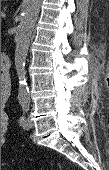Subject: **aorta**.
I'll return each instance as SVG.
<instances>
[{
	"instance_id": "aorta-1",
	"label": "aorta",
	"mask_w": 109,
	"mask_h": 170,
	"mask_svg": "<svg viewBox=\"0 0 109 170\" xmlns=\"http://www.w3.org/2000/svg\"><path fill=\"white\" fill-rule=\"evenodd\" d=\"M41 3L42 0H24L23 14L16 39L15 68L19 79L18 100L21 104H28L30 102V95L25 78V62L30 38L40 12Z\"/></svg>"
}]
</instances>
